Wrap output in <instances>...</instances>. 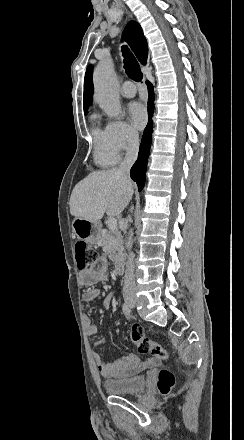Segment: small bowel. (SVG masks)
<instances>
[{
	"mask_svg": "<svg viewBox=\"0 0 244 440\" xmlns=\"http://www.w3.org/2000/svg\"><path fill=\"white\" fill-rule=\"evenodd\" d=\"M107 262L104 257H98L96 262L80 273L79 279L82 286L90 287L98 282L106 279ZM100 296V291L96 288L89 289L82 294V299L86 302H93ZM114 296L111 294L109 300ZM87 334L94 336L97 334V325L92 321L90 315L85 314L83 317ZM94 363L98 372L106 379H115L119 381H127L137 376L141 372L158 365L156 359L150 361H141L136 355L128 354L105 363L97 352L92 354Z\"/></svg>",
	"mask_w": 244,
	"mask_h": 440,
	"instance_id": "obj_1",
	"label": "small bowel"
}]
</instances>
